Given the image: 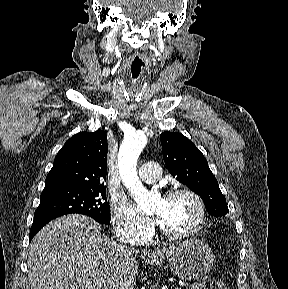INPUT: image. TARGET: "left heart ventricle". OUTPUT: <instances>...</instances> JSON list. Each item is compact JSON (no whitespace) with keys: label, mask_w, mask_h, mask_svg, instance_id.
I'll list each match as a JSON object with an SVG mask.
<instances>
[{"label":"left heart ventricle","mask_w":288,"mask_h":289,"mask_svg":"<svg viewBox=\"0 0 288 289\" xmlns=\"http://www.w3.org/2000/svg\"><path fill=\"white\" fill-rule=\"evenodd\" d=\"M151 214L169 231L175 233L190 230L198 219V208L189 196H178L169 200L158 199Z\"/></svg>","instance_id":"b2bd125f"}]
</instances>
